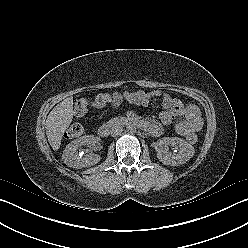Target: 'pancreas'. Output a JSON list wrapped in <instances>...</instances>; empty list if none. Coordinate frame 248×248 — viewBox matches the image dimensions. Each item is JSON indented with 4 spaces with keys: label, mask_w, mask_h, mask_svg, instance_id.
I'll list each match as a JSON object with an SVG mask.
<instances>
[{
    "label": "pancreas",
    "mask_w": 248,
    "mask_h": 248,
    "mask_svg": "<svg viewBox=\"0 0 248 248\" xmlns=\"http://www.w3.org/2000/svg\"><path fill=\"white\" fill-rule=\"evenodd\" d=\"M125 118L124 117H116V118H112L111 120H109L107 122L108 125H113V124H119L121 123Z\"/></svg>",
    "instance_id": "cf45deb5"
}]
</instances>
